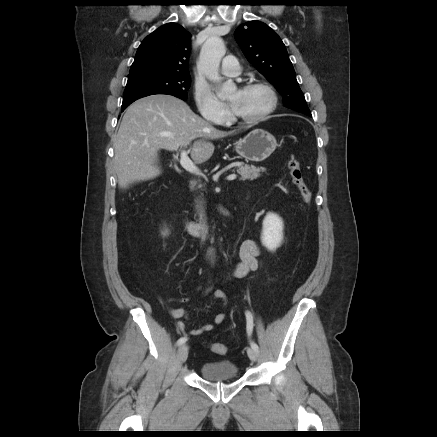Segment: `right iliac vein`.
Here are the masks:
<instances>
[{
  "mask_svg": "<svg viewBox=\"0 0 437 437\" xmlns=\"http://www.w3.org/2000/svg\"><path fill=\"white\" fill-rule=\"evenodd\" d=\"M188 346L187 345H181L178 349V361L180 363H184L187 360L188 357Z\"/></svg>",
  "mask_w": 437,
  "mask_h": 437,
  "instance_id": "63e3f726",
  "label": "right iliac vein"
}]
</instances>
